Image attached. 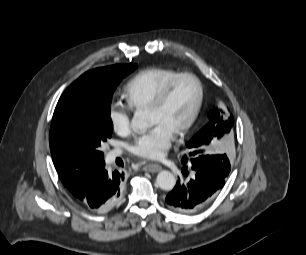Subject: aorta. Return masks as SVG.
Instances as JSON below:
<instances>
[{
    "label": "aorta",
    "instance_id": "obj_1",
    "mask_svg": "<svg viewBox=\"0 0 306 255\" xmlns=\"http://www.w3.org/2000/svg\"><path fill=\"white\" fill-rule=\"evenodd\" d=\"M131 124L134 130H146L149 126L145 113L140 110L134 113ZM156 183L160 189L170 191L174 188L176 179L171 172L163 170L158 173Z\"/></svg>",
    "mask_w": 306,
    "mask_h": 255
}]
</instances>
